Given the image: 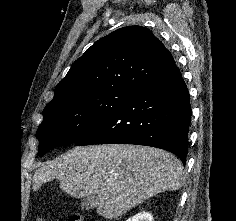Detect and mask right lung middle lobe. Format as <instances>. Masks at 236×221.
<instances>
[{"instance_id": "dd1d6c3e", "label": "right lung middle lobe", "mask_w": 236, "mask_h": 221, "mask_svg": "<svg viewBox=\"0 0 236 221\" xmlns=\"http://www.w3.org/2000/svg\"><path fill=\"white\" fill-rule=\"evenodd\" d=\"M135 93V90L117 88L45 107L43 122L36 132L39 156L54 147L76 143Z\"/></svg>"}]
</instances>
